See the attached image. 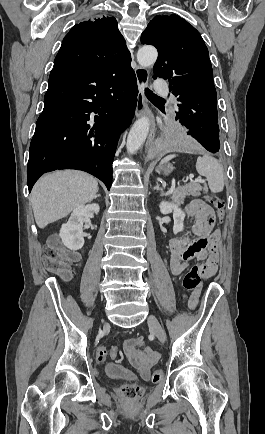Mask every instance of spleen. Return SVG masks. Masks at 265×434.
<instances>
[{"instance_id": "3e777b00", "label": "spleen", "mask_w": 265, "mask_h": 434, "mask_svg": "<svg viewBox=\"0 0 265 434\" xmlns=\"http://www.w3.org/2000/svg\"><path fill=\"white\" fill-rule=\"evenodd\" d=\"M173 158H176L175 154L166 156V158H163L162 162H160V166L166 164V162H170ZM196 170L200 176H205L209 190H211L213 194L222 192L224 188L223 170L217 160H214V158H211L208 154H204L202 158L199 156V158H197ZM207 190L208 188H205V192H207Z\"/></svg>"}]
</instances>
